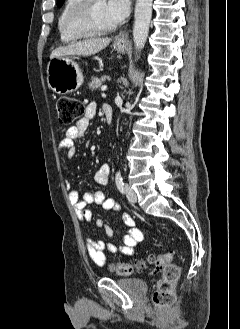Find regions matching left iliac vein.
Wrapping results in <instances>:
<instances>
[{
  "label": "left iliac vein",
  "mask_w": 240,
  "mask_h": 329,
  "mask_svg": "<svg viewBox=\"0 0 240 329\" xmlns=\"http://www.w3.org/2000/svg\"><path fill=\"white\" fill-rule=\"evenodd\" d=\"M125 191H126V197L130 202H132V203L137 202L136 193L129 185L125 186Z\"/></svg>",
  "instance_id": "1"
}]
</instances>
